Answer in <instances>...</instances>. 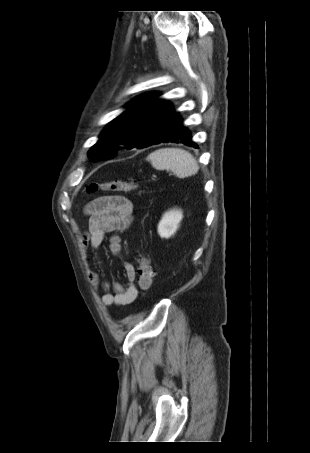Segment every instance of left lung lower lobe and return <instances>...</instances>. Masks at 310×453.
<instances>
[{
  "label": "left lung lower lobe",
  "mask_w": 310,
  "mask_h": 453,
  "mask_svg": "<svg viewBox=\"0 0 310 453\" xmlns=\"http://www.w3.org/2000/svg\"><path fill=\"white\" fill-rule=\"evenodd\" d=\"M162 142L183 143L187 146L198 148V146L192 141L190 131L183 126L182 118L178 113L175 114L172 124L165 136L155 144Z\"/></svg>",
  "instance_id": "0a47b994"
}]
</instances>
